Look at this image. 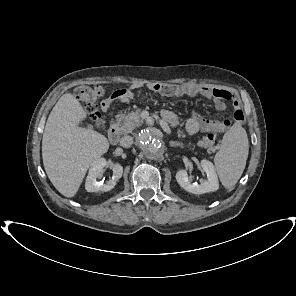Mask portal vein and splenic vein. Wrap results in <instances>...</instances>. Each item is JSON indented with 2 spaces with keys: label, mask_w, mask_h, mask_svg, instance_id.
Returning <instances> with one entry per match:
<instances>
[{
  "label": "portal vein and splenic vein",
  "mask_w": 296,
  "mask_h": 296,
  "mask_svg": "<svg viewBox=\"0 0 296 296\" xmlns=\"http://www.w3.org/2000/svg\"><path fill=\"white\" fill-rule=\"evenodd\" d=\"M163 130L167 133V134H171V129L169 128V126L166 123L162 124Z\"/></svg>",
  "instance_id": "1"
}]
</instances>
